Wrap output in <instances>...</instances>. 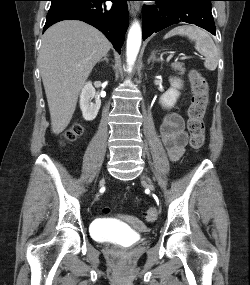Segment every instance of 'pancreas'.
Masks as SVG:
<instances>
[{
	"mask_svg": "<svg viewBox=\"0 0 250 285\" xmlns=\"http://www.w3.org/2000/svg\"><path fill=\"white\" fill-rule=\"evenodd\" d=\"M171 67L174 71H178L179 75H183L185 73V67L183 63L175 62L171 64Z\"/></svg>",
	"mask_w": 250,
	"mask_h": 285,
	"instance_id": "cf45deb5",
	"label": "pancreas"
}]
</instances>
